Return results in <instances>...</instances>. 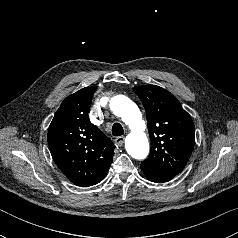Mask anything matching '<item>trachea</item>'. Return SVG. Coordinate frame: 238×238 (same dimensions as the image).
Returning <instances> with one entry per match:
<instances>
[{
  "label": "trachea",
  "instance_id": "trachea-1",
  "mask_svg": "<svg viewBox=\"0 0 238 238\" xmlns=\"http://www.w3.org/2000/svg\"><path fill=\"white\" fill-rule=\"evenodd\" d=\"M112 134L113 136H121L124 134V130L121 124L115 123L112 126Z\"/></svg>",
  "mask_w": 238,
  "mask_h": 238
}]
</instances>
